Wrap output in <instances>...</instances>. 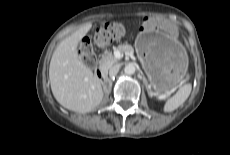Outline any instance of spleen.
<instances>
[{"label": "spleen", "mask_w": 230, "mask_h": 155, "mask_svg": "<svg viewBox=\"0 0 230 155\" xmlns=\"http://www.w3.org/2000/svg\"><path fill=\"white\" fill-rule=\"evenodd\" d=\"M192 90L191 84L182 86L175 95L167 99L164 105V112H172L179 108L188 99Z\"/></svg>", "instance_id": "spleen-1"}]
</instances>
